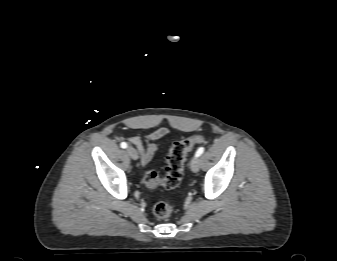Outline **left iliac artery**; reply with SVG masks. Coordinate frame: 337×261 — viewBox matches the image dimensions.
Wrapping results in <instances>:
<instances>
[{"instance_id":"left-iliac-artery-1","label":"left iliac artery","mask_w":337,"mask_h":261,"mask_svg":"<svg viewBox=\"0 0 337 261\" xmlns=\"http://www.w3.org/2000/svg\"><path fill=\"white\" fill-rule=\"evenodd\" d=\"M204 150H205L204 147L198 148V150H197L196 153H195V156H196V157L201 156V155L203 154Z\"/></svg>"}]
</instances>
